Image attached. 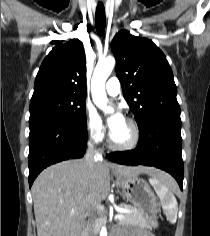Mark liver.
<instances>
[{
    "label": "liver",
    "mask_w": 210,
    "mask_h": 236,
    "mask_svg": "<svg viewBox=\"0 0 210 236\" xmlns=\"http://www.w3.org/2000/svg\"><path fill=\"white\" fill-rule=\"evenodd\" d=\"M110 170L121 178L148 174L172 178L153 167H128L85 159L68 160L46 168L35 179L32 197L38 236H78L85 218L110 191Z\"/></svg>",
    "instance_id": "obj_1"
}]
</instances>
